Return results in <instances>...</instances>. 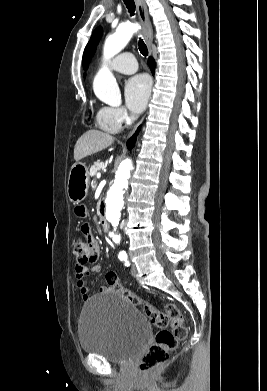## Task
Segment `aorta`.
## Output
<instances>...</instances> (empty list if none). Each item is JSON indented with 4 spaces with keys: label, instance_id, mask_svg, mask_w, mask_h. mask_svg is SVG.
I'll return each mask as SVG.
<instances>
[{
    "label": "aorta",
    "instance_id": "762f6f07",
    "mask_svg": "<svg viewBox=\"0 0 267 391\" xmlns=\"http://www.w3.org/2000/svg\"><path fill=\"white\" fill-rule=\"evenodd\" d=\"M138 29L139 26L137 24L124 23L119 25L116 31L107 36L105 40L103 48V59L105 64L99 70L94 79L93 90L95 95L106 104L116 106L121 103V93L118 84L106 63L127 45ZM132 170L133 164L130 159H125L119 164L115 174L114 183L108 190L105 200V215L112 229L110 235L113 237L115 242L120 241V236L118 235L117 230Z\"/></svg>",
    "mask_w": 267,
    "mask_h": 391
}]
</instances>
